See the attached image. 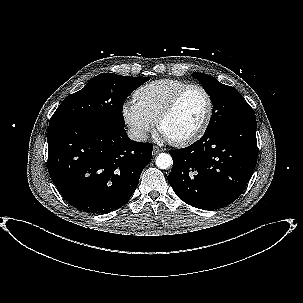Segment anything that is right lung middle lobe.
Here are the masks:
<instances>
[{"instance_id": "1", "label": "right lung middle lobe", "mask_w": 303, "mask_h": 303, "mask_svg": "<svg viewBox=\"0 0 303 303\" xmlns=\"http://www.w3.org/2000/svg\"><path fill=\"white\" fill-rule=\"evenodd\" d=\"M149 77L103 73L83 89L68 95L57 108L49 125L67 122H96L124 127L122 108L126 98Z\"/></svg>"}]
</instances>
